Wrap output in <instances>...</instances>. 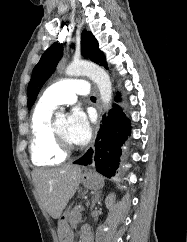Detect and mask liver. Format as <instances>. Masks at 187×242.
Here are the masks:
<instances>
[{"label":"liver","mask_w":187,"mask_h":242,"mask_svg":"<svg viewBox=\"0 0 187 242\" xmlns=\"http://www.w3.org/2000/svg\"><path fill=\"white\" fill-rule=\"evenodd\" d=\"M81 167L65 165L53 169H36L33 180L37 193L49 215L60 218L81 182Z\"/></svg>","instance_id":"1"}]
</instances>
